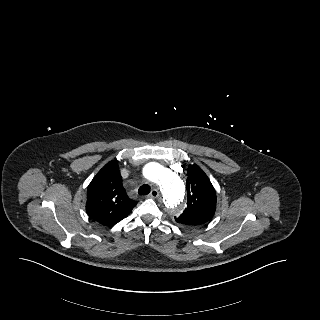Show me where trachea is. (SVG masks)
I'll list each match as a JSON object with an SVG mask.
<instances>
[{"instance_id":"3493384b","label":"trachea","mask_w":320,"mask_h":320,"mask_svg":"<svg viewBox=\"0 0 320 320\" xmlns=\"http://www.w3.org/2000/svg\"><path fill=\"white\" fill-rule=\"evenodd\" d=\"M149 192H150V186L147 185V184L142 185V186L139 188V190H138V193H139L140 195H146V194H148Z\"/></svg>"}]
</instances>
